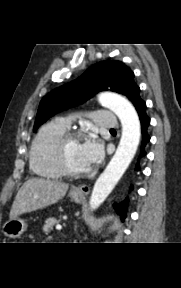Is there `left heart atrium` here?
<instances>
[{"label":"left heart atrium","mask_w":181,"mask_h":288,"mask_svg":"<svg viewBox=\"0 0 181 288\" xmlns=\"http://www.w3.org/2000/svg\"><path fill=\"white\" fill-rule=\"evenodd\" d=\"M81 153L88 167L100 161L103 156L101 142L96 137H90L81 144Z\"/></svg>","instance_id":"left-heart-atrium-1"}]
</instances>
